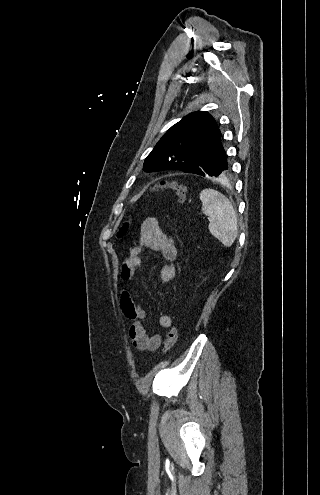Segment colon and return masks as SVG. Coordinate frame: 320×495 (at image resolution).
<instances>
[{
    "instance_id": "obj_1",
    "label": "colon",
    "mask_w": 320,
    "mask_h": 495,
    "mask_svg": "<svg viewBox=\"0 0 320 495\" xmlns=\"http://www.w3.org/2000/svg\"><path fill=\"white\" fill-rule=\"evenodd\" d=\"M157 190H169L173 192L181 203L186 200L188 192L187 187L177 181H162L157 187ZM126 229V227L122 228L119 232V236H124ZM177 339L178 326L176 324H173L166 335L163 348L164 354L168 353L173 348Z\"/></svg>"
}]
</instances>
